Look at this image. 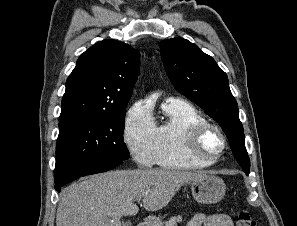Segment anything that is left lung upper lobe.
Wrapping results in <instances>:
<instances>
[{"label":"left lung upper lobe","instance_id":"5c2ea615","mask_svg":"<svg viewBox=\"0 0 297 226\" xmlns=\"http://www.w3.org/2000/svg\"><path fill=\"white\" fill-rule=\"evenodd\" d=\"M160 48L172 84L219 123L230 141L235 159L248 175L250 160L245 148L243 126L226 73L211 56L186 39L164 40Z\"/></svg>","mask_w":297,"mask_h":226}]
</instances>
